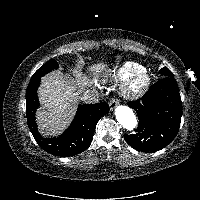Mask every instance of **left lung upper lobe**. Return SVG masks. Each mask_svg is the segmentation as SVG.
<instances>
[{"label":"left lung upper lobe","instance_id":"5c2ea615","mask_svg":"<svg viewBox=\"0 0 200 200\" xmlns=\"http://www.w3.org/2000/svg\"><path fill=\"white\" fill-rule=\"evenodd\" d=\"M160 73L164 76V77H173L174 78V75L173 73L167 68V67H164L160 70Z\"/></svg>","mask_w":200,"mask_h":200}]
</instances>
